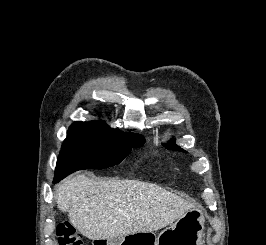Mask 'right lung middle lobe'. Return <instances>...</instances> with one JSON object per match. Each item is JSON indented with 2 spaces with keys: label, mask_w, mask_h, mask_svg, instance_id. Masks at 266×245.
I'll use <instances>...</instances> for the list:
<instances>
[{
  "label": "right lung middle lobe",
  "mask_w": 266,
  "mask_h": 245,
  "mask_svg": "<svg viewBox=\"0 0 266 245\" xmlns=\"http://www.w3.org/2000/svg\"><path fill=\"white\" fill-rule=\"evenodd\" d=\"M144 142L143 136L112 129L102 121L75 122L63 142L55 177L62 179L77 170L114 166Z\"/></svg>",
  "instance_id": "1"
}]
</instances>
